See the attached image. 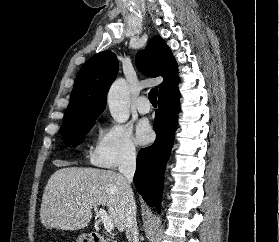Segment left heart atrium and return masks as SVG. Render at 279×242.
<instances>
[{"mask_svg":"<svg viewBox=\"0 0 279 242\" xmlns=\"http://www.w3.org/2000/svg\"><path fill=\"white\" fill-rule=\"evenodd\" d=\"M152 129L147 119H141L136 125V140L139 144H146L152 138Z\"/></svg>","mask_w":279,"mask_h":242,"instance_id":"1","label":"left heart atrium"}]
</instances>
